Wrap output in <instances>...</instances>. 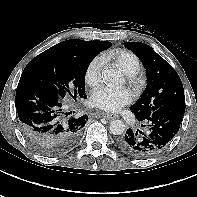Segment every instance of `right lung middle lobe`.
<instances>
[{
    "mask_svg": "<svg viewBox=\"0 0 197 197\" xmlns=\"http://www.w3.org/2000/svg\"><path fill=\"white\" fill-rule=\"evenodd\" d=\"M112 44L97 41L81 48L77 53L66 52L53 46L32 59L20 79L41 82L52 88L63 101L69 97L85 95V74L89 63Z\"/></svg>",
    "mask_w": 197,
    "mask_h": 197,
    "instance_id": "dd1d6c3e",
    "label": "right lung middle lobe"
}]
</instances>
